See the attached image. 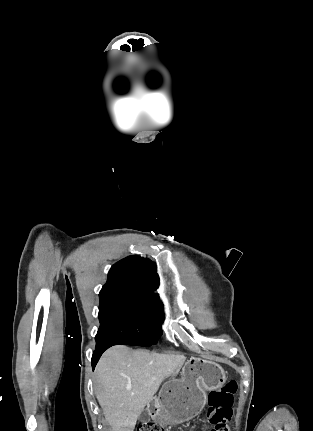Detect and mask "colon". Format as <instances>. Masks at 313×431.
<instances>
[{"mask_svg": "<svg viewBox=\"0 0 313 431\" xmlns=\"http://www.w3.org/2000/svg\"><path fill=\"white\" fill-rule=\"evenodd\" d=\"M237 391L236 381H228L220 389L209 395L208 421L212 428L210 431H231L229 422L232 417L233 397ZM136 431H166L165 427L157 422L140 424Z\"/></svg>", "mask_w": 313, "mask_h": 431, "instance_id": "1", "label": "colon"}]
</instances>
